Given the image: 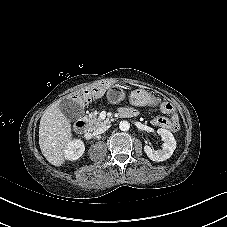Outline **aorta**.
I'll return each instance as SVG.
<instances>
[{
	"label": "aorta",
	"mask_w": 227,
	"mask_h": 227,
	"mask_svg": "<svg viewBox=\"0 0 227 227\" xmlns=\"http://www.w3.org/2000/svg\"><path fill=\"white\" fill-rule=\"evenodd\" d=\"M119 128L121 131H128L130 128V124L128 121H121L119 123Z\"/></svg>",
	"instance_id": "obj_1"
}]
</instances>
